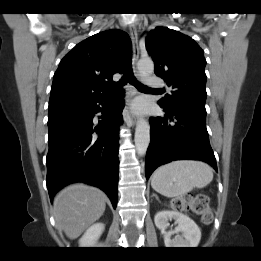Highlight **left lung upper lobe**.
Instances as JSON below:
<instances>
[{
	"label": "left lung upper lobe",
	"instance_id": "5c2ea615",
	"mask_svg": "<svg viewBox=\"0 0 261 261\" xmlns=\"http://www.w3.org/2000/svg\"><path fill=\"white\" fill-rule=\"evenodd\" d=\"M145 43L155 74L173 89L158 104L169 109L185 102L206 110V60L201 47L191 37L167 27L148 32Z\"/></svg>",
	"mask_w": 261,
	"mask_h": 261
}]
</instances>
